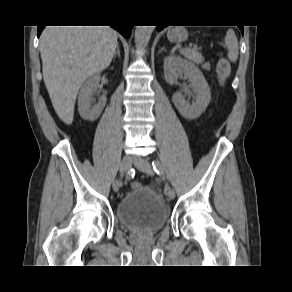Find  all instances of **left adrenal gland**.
Returning <instances> with one entry per match:
<instances>
[{"instance_id":"left-adrenal-gland-1","label":"left adrenal gland","mask_w":292,"mask_h":292,"mask_svg":"<svg viewBox=\"0 0 292 292\" xmlns=\"http://www.w3.org/2000/svg\"><path fill=\"white\" fill-rule=\"evenodd\" d=\"M162 51H166L165 47H162V48H161L160 53H161Z\"/></svg>"}]
</instances>
